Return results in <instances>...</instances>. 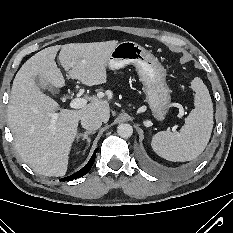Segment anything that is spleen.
<instances>
[{
	"mask_svg": "<svg viewBox=\"0 0 233 233\" xmlns=\"http://www.w3.org/2000/svg\"><path fill=\"white\" fill-rule=\"evenodd\" d=\"M194 106L179 132L161 131L152 138V148L160 157L185 162L195 159L207 146L213 129V104L206 85L199 77L191 82Z\"/></svg>",
	"mask_w": 233,
	"mask_h": 233,
	"instance_id": "3e777b00",
	"label": "spleen"
}]
</instances>
